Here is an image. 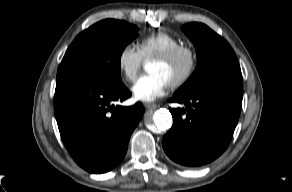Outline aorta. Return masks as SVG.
<instances>
[{
    "mask_svg": "<svg viewBox=\"0 0 292 192\" xmlns=\"http://www.w3.org/2000/svg\"><path fill=\"white\" fill-rule=\"evenodd\" d=\"M153 122L158 130L165 131L172 125V116L166 109H159L153 115Z\"/></svg>",
    "mask_w": 292,
    "mask_h": 192,
    "instance_id": "1",
    "label": "aorta"
}]
</instances>
